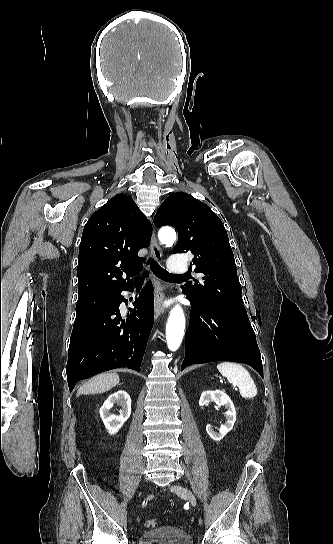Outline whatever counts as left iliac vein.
Segmentation results:
<instances>
[{
  "instance_id": "4c4485c4",
  "label": "left iliac vein",
  "mask_w": 333,
  "mask_h": 544,
  "mask_svg": "<svg viewBox=\"0 0 333 544\" xmlns=\"http://www.w3.org/2000/svg\"><path fill=\"white\" fill-rule=\"evenodd\" d=\"M170 490L174 492L175 494H177L179 497L188 500L192 506L195 507L197 505V501L194 494L189 489L185 488L184 486L173 485L170 487Z\"/></svg>"
}]
</instances>
